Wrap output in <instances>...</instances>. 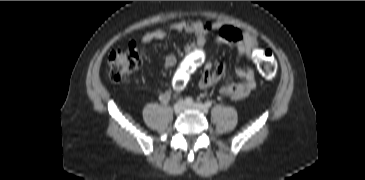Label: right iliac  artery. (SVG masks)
Wrapping results in <instances>:
<instances>
[{
	"mask_svg": "<svg viewBox=\"0 0 365 180\" xmlns=\"http://www.w3.org/2000/svg\"><path fill=\"white\" fill-rule=\"evenodd\" d=\"M184 103L187 105H191L193 103V99L190 97H187L184 99Z\"/></svg>",
	"mask_w": 365,
	"mask_h": 180,
	"instance_id": "right-iliac-artery-1",
	"label": "right iliac artery"
}]
</instances>
